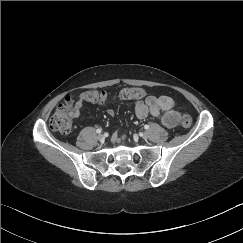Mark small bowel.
Instances as JSON below:
<instances>
[{"mask_svg": "<svg viewBox=\"0 0 243 243\" xmlns=\"http://www.w3.org/2000/svg\"><path fill=\"white\" fill-rule=\"evenodd\" d=\"M104 104L105 102H98ZM84 104L83 97H79L74 106V115L81 117L82 108ZM135 111L139 119H145L148 116L161 117V123L168 128H173L178 125L180 120V113L175 110L174 100L169 96H146L143 100L135 101ZM108 114L113 115L114 111L108 109ZM115 132L116 139L121 141L125 136L118 137Z\"/></svg>", "mask_w": 243, "mask_h": 243, "instance_id": "small-bowel-1", "label": "small bowel"}]
</instances>
